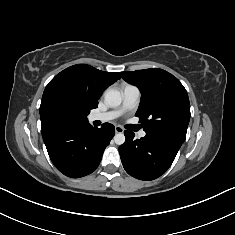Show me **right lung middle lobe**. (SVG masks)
<instances>
[{
	"label": "right lung middle lobe",
	"instance_id": "dd1d6c3e",
	"mask_svg": "<svg viewBox=\"0 0 235 235\" xmlns=\"http://www.w3.org/2000/svg\"><path fill=\"white\" fill-rule=\"evenodd\" d=\"M40 117L44 129L87 121V115L59 91L50 92L42 98Z\"/></svg>",
	"mask_w": 235,
	"mask_h": 235
}]
</instances>
